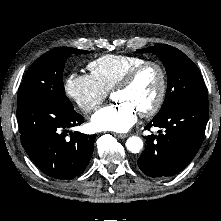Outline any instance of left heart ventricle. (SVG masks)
I'll list each match as a JSON object with an SVG mask.
<instances>
[{
  "label": "left heart ventricle",
  "mask_w": 221,
  "mask_h": 221,
  "mask_svg": "<svg viewBox=\"0 0 221 221\" xmlns=\"http://www.w3.org/2000/svg\"><path fill=\"white\" fill-rule=\"evenodd\" d=\"M159 83L160 77L157 69L147 67L129 88L115 91L113 99L116 102L129 103L139 113L151 107L155 102Z\"/></svg>",
  "instance_id": "left-heart-ventricle-1"
}]
</instances>
